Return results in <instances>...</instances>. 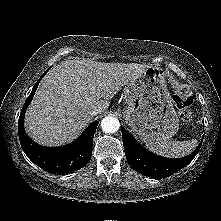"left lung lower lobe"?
I'll return each instance as SVG.
<instances>
[{"label": "left lung lower lobe", "instance_id": "obj_1", "mask_svg": "<svg viewBox=\"0 0 221 221\" xmlns=\"http://www.w3.org/2000/svg\"><path fill=\"white\" fill-rule=\"evenodd\" d=\"M121 131L124 151L129 165L135 171L152 178H164L184 168L194 159L202 144L201 142L189 156L171 159L149 152L125 128L122 127Z\"/></svg>", "mask_w": 221, "mask_h": 221}]
</instances>
